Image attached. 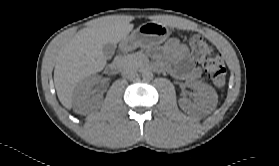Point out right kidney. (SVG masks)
Returning a JSON list of instances; mask_svg holds the SVG:
<instances>
[{
    "label": "right kidney",
    "instance_id": "obj_1",
    "mask_svg": "<svg viewBox=\"0 0 279 166\" xmlns=\"http://www.w3.org/2000/svg\"><path fill=\"white\" fill-rule=\"evenodd\" d=\"M99 81V78L94 77L82 82L80 88L75 92L76 102L86 108L90 102L98 99V97L92 96L91 88L93 85L98 84Z\"/></svg>",
    "mask_w": 279,
    "mask_h": 166
}]
</instances>
